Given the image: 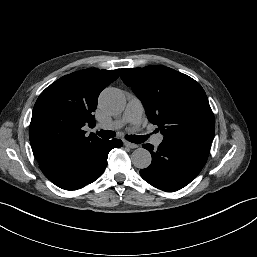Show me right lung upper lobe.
Here are the masks:
<instances>
[{
  "label": "right lung upper lobe",
  "instance_id": "1",
  "mask_svg": "<svg viewBox=\"0 0 257 257\" xmlns=\"http://www.w3.org/2000/svg\"><path fill=\"white\" fill-rule=\"evenodd\" d=\"M119 76L117 70L85 69L65 75L38 97L30 123V143L39 165L75 153L100 141L85 136L83 126H95L92 113L100 92Z\"/></svg>",
  "mask_w": 257,
  "mask_h": 257
}]
</instances>
